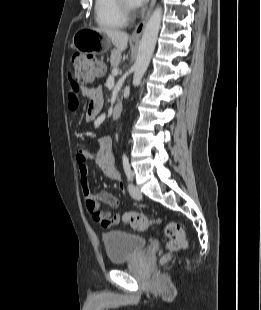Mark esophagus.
<instances>
[{"label": "esophagus", "mask_w": 261, "mask_h": 310, "mask_svg": "<svg viewBox=\"0 0 261 310\" xmlns=\"http://www.w3.org/2000/svg\"><path fill=\"white\" fill-rule=\"evenodd\" d=\"M156 3V0H151V3H150V6H149V9L146 13V15L143 17V19L138 23V25L136 26V28L134 29V31L132 32L131 34V39L132 40H138L141 35H142V32L144 30V27L146 25V22L154 8V5Z\"/></svg>", "instance_id": "obj_1"}]
</instances>
